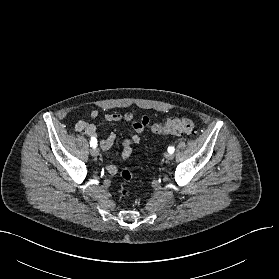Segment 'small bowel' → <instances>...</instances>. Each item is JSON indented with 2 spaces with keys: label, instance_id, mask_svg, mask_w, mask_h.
Instances as JSON below:
<instances>
[{
  "label": "small bowel",
  "instance_id": "small-bowel-1",
  "mask_svg": "<svg viewBox=\"0 0 279 279\" xmlns=\"http://www.w3.org/2000/svg\"><path fill=\"white\" fill-rule=\"evenodd\" d=\"M91 120L92 122L88 123L83 120L78 121L75 124V130L78 132H82L89 137L95 138L97 140V126L95 121H97L101 114L99 111L94 110L91 112ZM103 119L107 122H123L129 125V138L125 139L123 142V150L121 157L123 160L129 158L133 152V147L138 145L141 141V135L144 133L146 128L150 125V119L147 116H143L140 118H135L133 113H107L103 115ZM116 140V134L110 133L106 138L99 140V146L103 151H107L111 148ZM106 170L108 173L114 175L119 171V167L114 164H108L106 166Z\"/></svg>",
  "mask_w": 279,
  "mask_h": 279
}]
</instances>
